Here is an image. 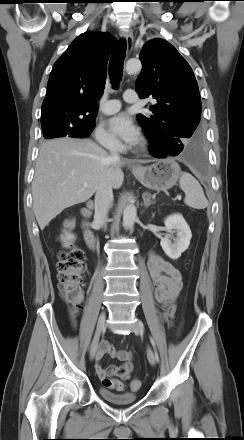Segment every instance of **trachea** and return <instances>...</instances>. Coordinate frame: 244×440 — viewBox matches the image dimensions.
<instances>
[{"mask_svg": "<svg viewBox=\"0 0 244 440\" xmlns=\"http://www.w3.org/2000/svg\"><path fill=\"white\" fill-rule=\"evenodd\" d=\"M126 55V42L120 40L112 53L109 62V76L114 88H118L123 74V65Z\"/></svg>", "mask_w": 244, "mask_h": 440, "instance_id": "1", "label": "trachea"}]
</instances>
